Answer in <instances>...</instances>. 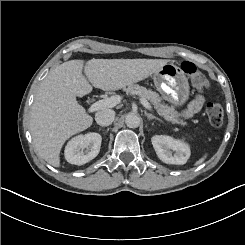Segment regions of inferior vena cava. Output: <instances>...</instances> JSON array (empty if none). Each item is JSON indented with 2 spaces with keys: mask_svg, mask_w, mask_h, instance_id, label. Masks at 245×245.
Masks as SVG:
<instances>
[{
  "mask_svg": "<svg viewBox=\"0 0 245 245\" xmlns=\"http://www.w3.org/2000/svg\"><path fill=\"white\" fill-rule=\"evenodd\" d=\"M115 118L113 109H101L95 114L96 122L101 126L110 125Z\"/></svg>",
  "mask_w": 245,
  "mask_h": 245,
  "instance_id": "obj_1",
  "label": "inferior vena cava"
}]
</instances>
